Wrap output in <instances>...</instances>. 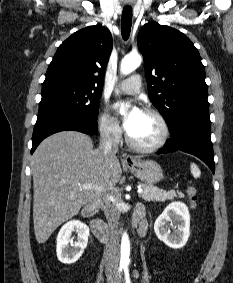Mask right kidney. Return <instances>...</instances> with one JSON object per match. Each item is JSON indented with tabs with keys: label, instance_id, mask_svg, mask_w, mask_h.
Segmentation results:
<instances>
[{
	"label": "right kidney",
	"instance_id": "ca27d5eb",
	"mask_svg": "<svg viewBox=\"0 0 233 283\" xmlns=\"http://www.w3.org/2000/svg\"><path fill=\"white\" fill-rule=\"evenodd\" d=\"M78 233V240L73 242L72 233ZM89 228L79 220L67 222L57 236V257L64 264L75 263L83 254L88 243Z\"/></svg>",
	"mask_w": 233,
	"mask_h": 283
}]
</instances>
